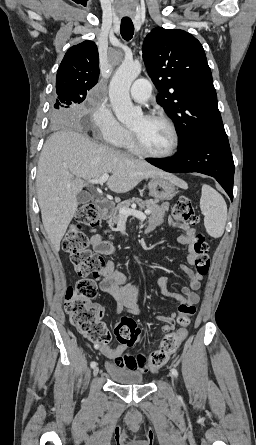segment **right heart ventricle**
Masks as SVG:
<instances>
[{
    "label": "right heart ventricle",
    "instance_id": "1",
    "mask_svg": "<svg viewBox=\"0 0 256 445\" xmlns=\"http://www.w3.org/2000/svg\"><path fill=\"white\" fill-rule=\"evenodd\" d=\"M121 147L127 149L129 152L131 153H136L137 151L135 150L133 144H132V140H131V136L130 134H128L126 136V138L122 141L121 144H119Z\"/></svg>",
    "mask_w": 256,
    "mask_h": 445
}]
</instances>
